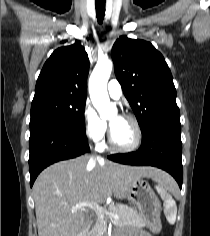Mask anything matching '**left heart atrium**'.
<instances>
[{
  "label": "left heart atrium",
  "instance_id": "1",
  "mask_svg": "<svg viewBox=\"0 0 210 236\" xmlns=\"http://www.w3.org/2000/svg\"><path fill=\"white\" fill-rule=\"evenodd\" d=\"M120 119H121V117H120V116H117V117L114 119V121L111 123V126L114 125V124H116Z\"/></svg>",
  "mask_w": 210,
  "mask_h": 236
}]
</instances>
